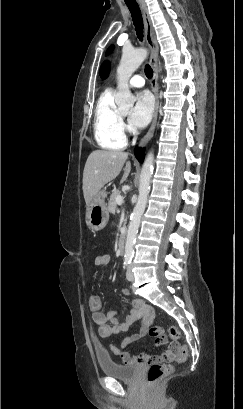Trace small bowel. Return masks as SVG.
Wrapping results in <instances>:
<instances>
[{"label":"small bowel","mask_w":243,"mask_h":409,"mask_svg":"<svg viewBox=\"0 0 243 409\" xmlns=\"http://www.w3.org/2000/svg\"><path fill=\"white\" fill-rule=\"evenodd\" d=\"M110 260V255L106 252H102L96 258V263L99 265H106L110 262ZM122 293L126 296L130 295V291L127 288H124ZM91 318L98 327L99 335L103 338H109L120 332L128 331L136 322H141L140 328L137 332L131 333L121 340L120 347L114 343L109 344V351L118 356L128 365L149 363L153 361L172 362L177 357L178 348L174 344L170 345L167 351L154 357L147 354L135 356L124 350L133 342L147 336L150 333V327L155 318V309L143 299H134L132 301L129 314L124 318H120V312L116 309H112L106 314L92 311ZM167 343L168 339L166 337L161 341H155V345L158 347L164 346Z\"/></svg>","instance_id":"1"}]
</instances>
